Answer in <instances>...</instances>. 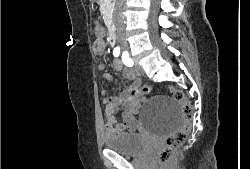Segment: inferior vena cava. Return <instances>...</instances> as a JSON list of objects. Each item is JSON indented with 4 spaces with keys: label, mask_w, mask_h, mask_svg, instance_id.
<instances>
[{
    "label": "inferior vena cava",
    "mask_w": 250,
    "mask_h": 169,
    "mask_svg": "<svg viewBox=\"0 0 250 169\" xmlns=\"http://www.w3.org/2000/svg\"><path fill=\"white\" fill-rule=\"evenodd\" d=\"M124 0H116L113 18L116 26V30H123L124 28V16H123V6Z\"/></svg>",
    "instance_id": "1"
}]
</instances>
